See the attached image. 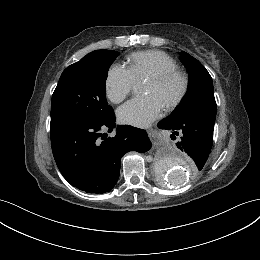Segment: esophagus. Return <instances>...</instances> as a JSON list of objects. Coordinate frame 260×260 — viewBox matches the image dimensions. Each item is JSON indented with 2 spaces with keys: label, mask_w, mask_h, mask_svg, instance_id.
<instances>
[{
  "label": "esophagus",
  "mask_w": 260,
  "mask_h": 260,
  "mask_svg": "<svg viewBox=\"0 0 260 260\" xmlns=\"http://www.w3.org/2000/svg\"><path fill=\"white\" fill-rule=\"evenodd\" d=\"M147 132L151 140H154L158 136L157 128H150Z\"/></svg>",
  "instance_id": "obj_1"
}]
</instances>
